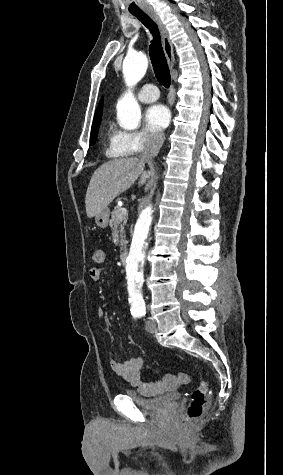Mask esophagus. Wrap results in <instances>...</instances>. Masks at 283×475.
Wrapping results in <instances>:
<instances>
[{
    "label": "esophagus",
    "mask_w": 283,
    "mask_h": 475,
    "mask_svg": "<svg viewBox=\"0 0 283 475\" xmlns=\"http://www.w3.org/2000/svg\"><path fill=\"white\" fill-rule=\"evenodd\" d=\"M145 13L157 24L158 29L161 34V40H162V45H163V50L165 57L167 59L168 65L170 69L172 70L174 67V51H173V45L169 37L168 30L166 29L165 25L157 15L152 10H146ZM171 90L174 91V87H171Z\"/></svg>",
    "instance_id": "esophagus-1"
}]
</instances>
